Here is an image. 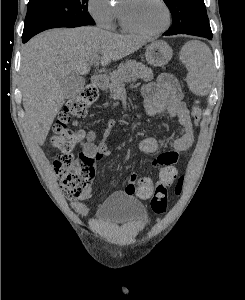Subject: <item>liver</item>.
<instances>
[{
    "instance_id": "1",
    "label": "liver",
    "mask_w": 245,
    "mask_h": 300,
    "mask_svg": "<svg viewBox=\"0 0 245 300\" xmlns=\"http://www.w3.org/2000/svg\"><path fill=\"white\" fill-rule=\"evenodd\" d=\"M148 40L97 27L58 28L42 32L23 47L21 61L23 107L34 141L43 145L54 118L65 102L61 81L70 74L86 75L90 61L102 54L108 65L126 57Z\"/></svg>"
}]
</instances>
